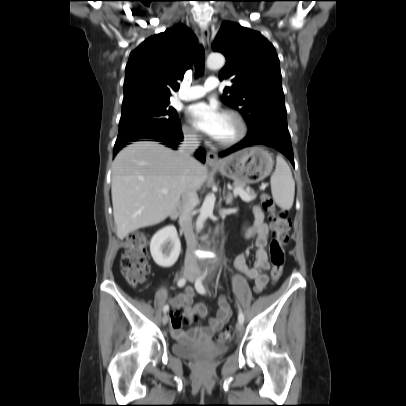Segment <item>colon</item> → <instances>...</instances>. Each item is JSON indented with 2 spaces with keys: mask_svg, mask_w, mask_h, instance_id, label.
Returning <instances> with one entry per match:
<instances>
[{
  "mask_svg": "<svg viewBox=\"0 0 406 406\" xmlns=\"http://www.w3.org/2000/svg\"><path fill=\"white\" fill-rule=\"evenodd\" d=\"M262 206L268 214V220L273 228L272 239L269 246L270 261L272 264L271 280L277 282L282 275L285 255L284 246L288 242L289 221L284 210L278 209L271 196H261ZM148 265L146 261V238L140 232H132L127 239L126 248L121 257V274L130 286H137L143 283L148 276ZM186 321L192 317L182 315L175 311L171 316V324L174 327L181 325L182 319ZM231 337L230 330H224L216 335L220 343L227 342Z\"/></svg>",
  "mask_w": 406,
  "mask_h": 406,
  "instance_id": "1",
  "label": "colon"
}]
</instances>
